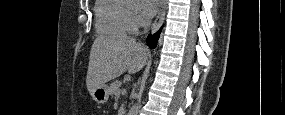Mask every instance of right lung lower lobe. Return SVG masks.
Here are the masks:
<instances>
[{
    "label": "right lung lower lobe",
    "mask_w": 285,
    "mask_h": 115,
    "mask_svg": "<svg viewBox=\"0 0 285 115\" xmlns=\"http://www.w3.org/2000/svg\"><path fill=\"white\" fill-rule=\"evenodd\" d=\"M160 31H161V29L156 34H154L153 36H149L147 38V42H148L149 47H151V48L156 47L157 41L159 39Z\"/></svg>",
    "instance_id": "98d812e1"
}]
</instances>
